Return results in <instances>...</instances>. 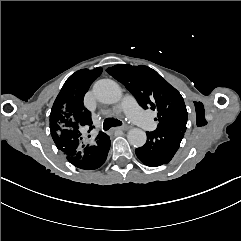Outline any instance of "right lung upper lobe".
<instances>
[{
	"label": "right lung upper lobe",
	"mask_w": 241,
	"mask_h": 241,
	"mask_svg": "<svg viewBox=\"0 0 241 241\" xmlns=\"http://www.w3.org/2000/svg\"><path fill=\"white\" fill-rule=\"evenodd\" d=\"M101 73V67L75 72L66 80L53 104L50 131L57 148L65 156H75L84 145L92 143L87 139V134L94 126L91 113L83 105V99L92 82ZM104 135L100 132L95 140Z\"/></svg>",
	"instance_id": "1"
}]
</instances>
